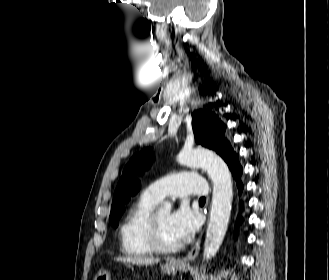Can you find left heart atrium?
Wrapping results in <instances>:
<instances>
[{
	"label": "left heart atrium",
	"mask_w": 329,
	"mask_h": 280,
	"mask_svg": "<svg viewBox=\"0 0 329 280\" xmlns=\"http://www.w3.org/2000/svg\"><path fill=\"white\" fill-rule=\"evenodd\" d=\"M199 225V214L185 203L170 214V226L179 242L190 239L198 230Z\"/></svg>",
	"instance_id": "left-heart-atrium-1"
}]
</instances>
